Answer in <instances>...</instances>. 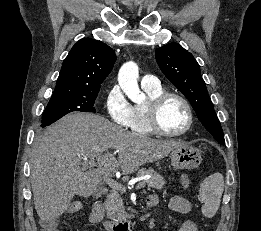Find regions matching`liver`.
I'll return each mask as SVG.
<instances>
[{
  "mask_svg": "<svg viewBox=\"0 0 261 231\" xmlns=\"http://www.w3.org/2000/svg\"><path fill=\"white\" fill-rule=\"evenodd\" d=\"M183 144L129 132L99 115L68 114L34 143L30 178L36 212L41 221H52L74 195L89 197L115 172L132 173ZM111 149L118 152L117 159ZM91 160H97L96 166Z\"/></svg>",
  "mask_w": 261,
  "mask_h": 231,
  "instance_id": "liver-1",
  "label": "liver"
}]
</instances>
